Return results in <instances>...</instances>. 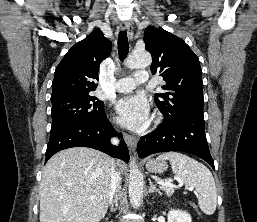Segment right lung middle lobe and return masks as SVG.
<instances>
[{"mask_svg":"<svg viewBox=\"0 0 257 222\" xmlns=\"http://www.w3.org/2000/svg\"><path fill=\"white\" fill-rule=\"evenodd\" d=\"M51 129L67 123H95L104 116V103L95 96L68 97L52 101Z\"/></svg>","mask_w":257,"mask_h":222,"instance_id":"obj_1","label":"right lung middle lobe"}]
</instances>
